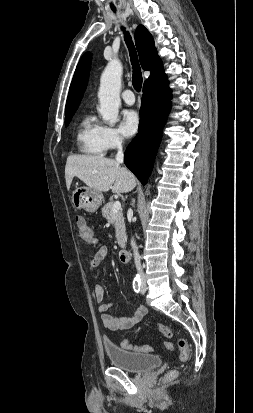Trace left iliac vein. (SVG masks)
Segmentation results:
<instances>
[{
    "label": "left iliac vein",
    "instance_id": "1",
    "mask_svg": "<svg viewBox=\"0 0 253 413\" xmlns=\"http://www.w3.org/2000/svg\"><path fill=\"white\" fill-rule=\"evenodd\" d=\"M146 292V282L145 280L142 281V286H141V294H144Z\"/></svg>",
    "mask_w": 253,
    "mask_h": 413
}]
</instances>
